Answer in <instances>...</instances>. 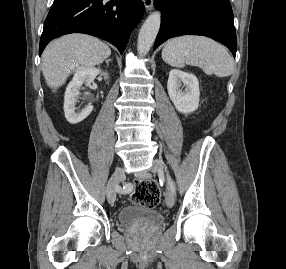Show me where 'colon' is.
<instances>
[{
    "instance_id": "colon-1",
    "label": "colon",
    "mask_w": 286,
    "mask_h": 269,
    "mask_svg": "<svg viewBox=\"0 0 286 269\" xmlns=\"http://www.w3.org/2000/svg\"><path fill=\"white\" fill-rule=\"evenodd\" d=\"M132 201L142 207L153 208L160 200L157 185L152 180H139L136 190L131 197Z\"/></svg>"
}]
</instances>
